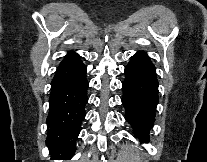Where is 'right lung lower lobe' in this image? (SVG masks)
<instances>
[{"label": "right lung lower lobe", "mask_w": 207, "mask_h": 162, "mask_svg": "<svg viewBox=\"0 0 207 162\" xmlns=\"http://www.w3.org/2000/svg\"><path fill=\"white\" fill-rule=\"evenodd\" d=\"M86 71V66L76 55L60 63L51 82L46 141L52 160H70L75 152L88 101Z\"/></svg>", "instance_id": "right-lung-lower-lobe-1"}]
</instances>
